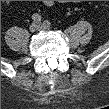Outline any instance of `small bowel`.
Masks as SVG:
<instances>
[{
  "instance_id": "small-bowel-1",
  "label": "small bowel",
  "mask_w": 109,
  "mask_h": 109,
  "mask_svg": "<svg viewBox=\"0 0 109 109\" xmlns=\"http://www.w3.org/2000/svg\"><path fill=\"white\" fill-rule=\"evenodd\" d=\"M45 4H46L47 6H52V5H53V1H46Z\"/></svg>"
}]
</instances>
